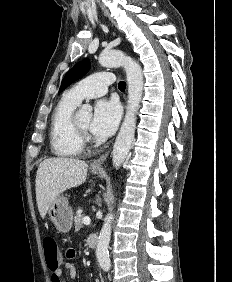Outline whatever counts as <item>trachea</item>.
<instances>
[{
	"mask_svg": "<svg viewBox=\"0 0 232 282\" xmlns=\"http://www.w3.org/2000/svg\"><path fill=\"white\" fill-rule=\"evenodd\" d=\"M118 88L121 90V91H124L125 88H126V83L124 81H120L119 84H118Z\"/></svg>",
	"mask_w": 232,
	"mask_h": 282,
	"instance_id": "obj_1",
	"label": "trachea"
}]
</instances>
